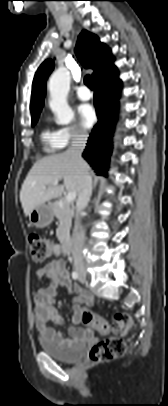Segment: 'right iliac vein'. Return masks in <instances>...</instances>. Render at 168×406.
Segmentation results:
<instances>
[{"label":"right iliac vein","mask_w":168,"mask_h":406,"mask_svg":"<svg viewBox=\"0 0 168 406\" xmlns=\"http://www.w3.org/2000/svg\"><path fill=\"white\" fill-rule=\"evenodd\" d=\"M80 274H81V275H80L81 277H85V271H84V269H81V270H80Z\"/></svg>","instance_id":"63e3f726"}]
</instances>
